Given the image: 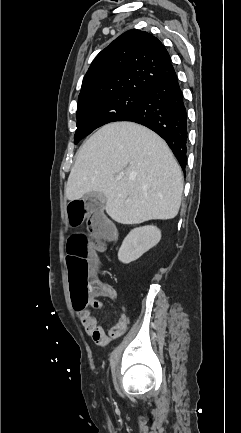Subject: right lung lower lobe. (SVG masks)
Returning a JSON list of instances; mask_svg holds the SVG:
<instances>
[{
  "mask_svg": "<svg viewBox=\"0 0 241 433\" xmlns=\"http://www.w3.org/2000/svg\"><path fill=\"white\" fill-rule=\"evenodd\" d=\"M142 103L120 121L142 124L161 136L182 169L186 167L188 125L183 93L176 73L149 86Z\"/></svg>",
  "mask_w": 241,
  "mask_h": 433,
  "instance_id": "1",
  "label": "right lung lower lobe"
}]
</instances>
